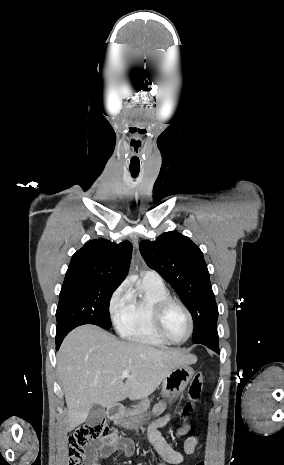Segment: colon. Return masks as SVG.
Listing matches in <instances>:
<instances>
[{"instance_id": "5ec220e1", "label": "colon", "mask_w": 284, "mask_h": 465, "mask_svg": "<svg viewBox=\"0 0 284 465\" xmlns=\"http://www.w3.org/2000/svg\"><path fill=\"white\" fill-rule=\"evenodd\" d=\"M203 381L202 373L197 372L194 374L188 395L194 403H201L203 399ZM185 411L194 412L195 406L188 402L185 406ZM181 420L177 425H172L170 428L171 435L179 434L181 438L188 436L187 430H192L194 424L191 420L189 413H183ZM107 427L102 422H96L90 426L78 429L70 438V461L68 465H82V447L89 443L91 440H97L106 435ZM197 465H205L204 462H197Z\"/></svg>"}]
</instances>
